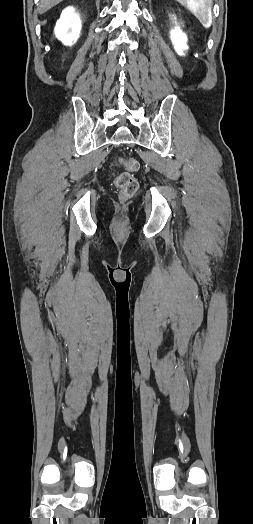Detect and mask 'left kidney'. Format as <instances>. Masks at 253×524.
Masks as SVG:
<instances>
[{"label": "left kidney", "mask_w": 253, "mask_h": 524, "mask_svg": "<svg viewBox=\"0 0 253 524\" xmlns=\"http://www.w3.org/2000/svg\"><path fill=\"white\" fill-rule=\"evenodd\" d=\"M170 39L176 53L180 56L185 55L184 52L188 49L187 36L181 31L178 25H176L174 29H171Z\"/></svg>", "instance_id": "5707ae66"}]
</instances>
